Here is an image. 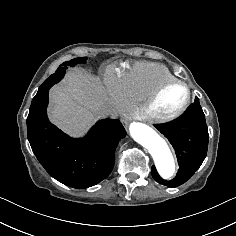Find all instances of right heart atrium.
<instances>
[{
    "instance_id": "d8ad5b80",
    "label": "right heart atrium",
    "mask_w": 236,
    "mask_h": 236,
    "mask_svg": "<svg viewBox=\"0 0 236 236\" xmlns=\"http://www.w3.org/2000/svg\"><path fill=\"white\" fill-rule=\"evenodd\" d=\"M103 81L106 85V94L111 101L114 113L123 112L125 106L128 103L124 96L122 81H120L116 76L111 74L104 75Z\"/></svg>"
}]
</instances>
